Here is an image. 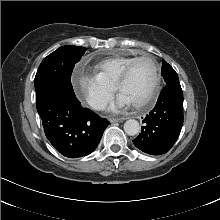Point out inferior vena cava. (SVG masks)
Returning a JSON list of instances; mask_svg holds the SVG:
<instances>
[{
  "instance_id": "inferior-vena-cava-1",
  "label": "inferior vena cava",
  "mask_w": 220,
  "mask_h": 220,
  "mask_svg": "<svg viewBox=\"0 0 220 220\" xmlns=\"http://www.w3.org/2000/svg\"><path fill=\"white\" fill-rule=\"evenodd\" d=\"M89 104L93 109L101 110L105 108V106L107 105V102L104 99L93 98L89 100Z\"/></svg>"
}]
</instances>
